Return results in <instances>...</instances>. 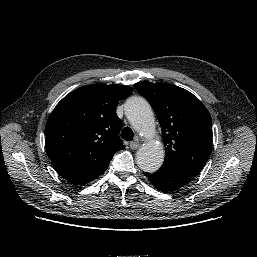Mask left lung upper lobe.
I'll return each instance as SVG.
<instances>
[{"instance_id":"5c2ea615","label":"left lung upper lobe","mask_w":257,"mask_h":257,"mask_svg":"<svg viewBox=\"0 0 257 257\" xmlns=\"http://www.w3.org/2000/svg\"><path fill=\"white\" fill-rule=\"evenodd\" d=\"M135 88L159 120L166 146L162 166L196 176L212 150V120L207 108L192 93L175 85L141 81Z\"/></svg>"}]
</instances>
